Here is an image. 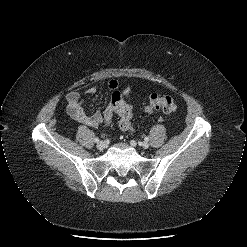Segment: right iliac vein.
I'll list each match as a JSON object with an SVG mask.
<instances>
[{
    "instance_id": "1",
    "label": "right iliac vein",
    "mask_w": 247,
    "mask_h": 247,
    "mask_svg": "<svg viewBox=\"0 0 247 247\" xmlns=\"http://www.w3.org/2000/svg\"><path fill=\"white\" fill-rule=\"evenodd\" d=\"M106 147H107V144H106L105 141H100L99 143H97V148H98L99 150H103V149H105Z\"/></svg>"
}]
</instances>
